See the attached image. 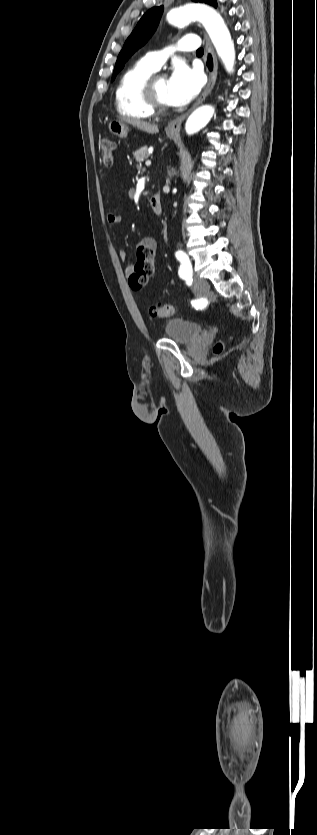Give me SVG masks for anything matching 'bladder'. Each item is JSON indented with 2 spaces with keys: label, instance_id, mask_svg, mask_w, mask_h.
<instances>
[{
  "label": "bladder",
  "instance_id": "bladder-1",
  "mask_svg": "<svg viewBox=\"0 0 317 835\" xmlns=\"http://www.w3.org/2000/svg\"><path fill=\"white\" fill-rule=\"evenodd\" d=\"M202 331L200 324L179 317L171 318L164 326L165 337L183 345L196 340Z\"/></svg>",
  "mask_w": 317,
  "mask_h": 835
}]
</instances>
